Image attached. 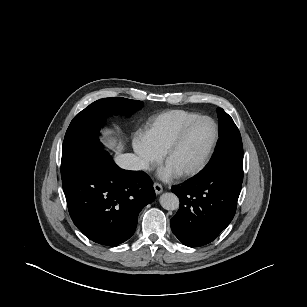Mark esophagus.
Listing matches in <instances>:
<instances>
[{
  "instance_id": "obj_1",
  "label": "esophagus",
  "mask_w": 307,
  "mask_h": 307,
  "mask_svg": "<svg viewBox=\"0 0 307 307\" xmlns=\"http://www.w3.org/2000/svg\"><path fill=\"white\" fill-rule=\"evenodd\" d=\"M153 187H154L155 193L157 195L160 194L163 191L162 186L157 182L154 183Z\"/></svg>"
}]
</instances>
